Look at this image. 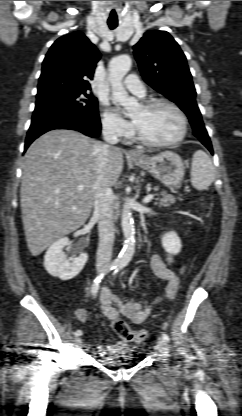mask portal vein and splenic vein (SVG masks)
<instances>
[{
  "label": "portal vein and splenic vein",
  "instance_id": "portal-vein-and-splenic-vein-1",
  "mask_svg": "<svg viewBox=\"0 0 242 416\" xmlns=\"http://www.w3.org/2000/svg\"><path fill=\"white\" fill-rule=\"evenodd\" d=\"M83 186L82 185H79L78 186V189L79 190H83ZM153 197H154V195L153 194H149V195H147L144 199H143V203H148V202H150L152 199H153Z\"/></svg>",
  "mask_w": 242,
  "mask_h": 416
}]
</instances>
